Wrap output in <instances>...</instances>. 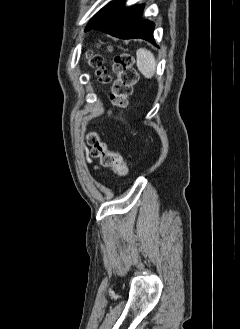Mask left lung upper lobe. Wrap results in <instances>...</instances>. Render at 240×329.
<instances>
[{"label":"left lung upper lobe","instance_id":"5c2ea615","mask_svg":"<svg viewBox=\"0 0 240 329\" xmlns=\"http://www.w3.org/2000/svg\"><path fill=\"white\" fill-rule=\"evenodd\" d=\"M122 0H116L111 2L105 8L101 9L88 23L86 31L92 29L97 23H99L104 17H106Z\"/></svg>","mask_w":240,"mask_h":329}]
</instances>
